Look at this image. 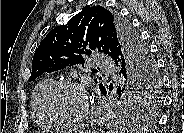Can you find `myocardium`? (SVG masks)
Returning <instances> with one entry per match:
<instances>
[{
  "label": "myocardium",
  "instance_id": "1",
  "mask_svg": "<svg viewBox=\"0 0 184 133\" xmlns=\"http://www.w3.org/2000/svg\"><path fill=\"white\" fill-rule=\"evenodd\" d=\"M69 87V88H76L80 90L86 100V108L84 112L77 118L74 119H64L58 117L52 110L51 107V100L56 91H58L61 88ZM43 109L47 117L51 120L53 124L62 125V126H79L87 122L91 115H92V103L90 98V93L85 87L84 84L76 81V80H59L55 81L45 92L43 97Z\"/></svg>",
  "mask_w": 184,
  "mask_h": 133
}]
</instances>
